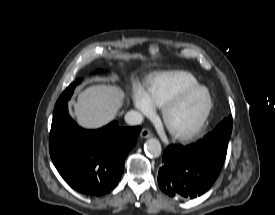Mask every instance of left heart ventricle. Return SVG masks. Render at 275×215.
I'll return each instance as SVG.
<instances>
[{"label":"left heart ventricle","instance_id":"b2bd125f","mask_svg":"<svg viewBox=\"0 0 275 215\" xmlns=\"http://www.w3.org/2000/svg\"><path fill=\"white\" fill-rule=\"evenodd\" d=\"M207 106V95L204 91H197L187 96L169 116L171 128L184 131L194 126L203 115Z\"/></svg>","mask_w":275,"mask_h":215}]
</instances>
